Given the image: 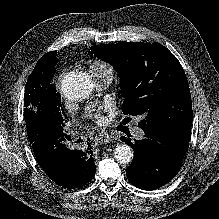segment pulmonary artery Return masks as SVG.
<instances>
[{
    "label": "pulmonary artery",
    "instance_id": "obj_1",
    "mask_svg": "<svg viewBox=\"0 0 219 219\" xmlns=\"http://www.w3.org/2000/svg\"><path fill=\"white\" fill-rule=\"evenodd\" d=\"M90 75L94 81V84L99 89L106 88L111 80H112V70L111 69H103L95 72H90ZM134 135L137 138H141L143 136V131L136 127L134 129Z\"/></svg>",
    "mask_w": 219,
    "mask_h": 219
}]
</instances>
